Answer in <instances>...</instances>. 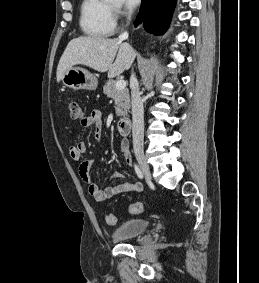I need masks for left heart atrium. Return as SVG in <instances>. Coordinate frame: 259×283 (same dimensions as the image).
<instances>
[{
  "instance_id": "1",
  "label": "left heart atrium",
  "mask_w": 259,
  "mask_h": 283,
  "mask_svg": "<svg viewBox=\"0 0 259 283\" xmlns=\"http://www.w3.org/2000/svg\"><path fill=\"white\" fill-rule=\"evenodd\" d=\"M140 3V0H125L127 9L131 10L136 8Z\"/></svg>"
}]
</instances>
